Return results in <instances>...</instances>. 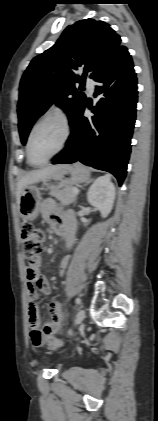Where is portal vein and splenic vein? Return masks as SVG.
I'll list each match as a JSON object with an SVG mask.
<instances>
[{"label": "portal vein and splenic vein", "instance_id": "1", "mask_svg": "<svg viewBox=\"0 0 158 421\" xmlns=\"http://www.w3.org/2000/svg\"><path fill=\"white\" fill-rule=\"evenodd\" d=\"M79 193V190L77 189V188H75L74 190H73V195H77Z\"/></svg>", "mask_w": 158, "mask_h": 421}]
</instances>
